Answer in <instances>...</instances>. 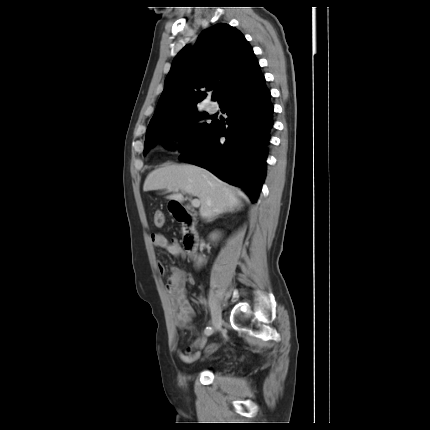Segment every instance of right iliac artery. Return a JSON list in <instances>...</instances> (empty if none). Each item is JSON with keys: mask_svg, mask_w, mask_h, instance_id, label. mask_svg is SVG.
<instances>
[{"mask_svg": "<svg viewBox=\"0 0 430 430\" xmlns=\"http://www.w3.org/2000/svg\"><path fill=\"white\" fill-rule=\"evenodd\" d=\"M213 333V329H212V327H207L206 329H205V334L206 335H211Z\"/></svg>", "mask_w": 430, "mask_h": 430, "instance_id": "82829eb1", "label": "right iliac artery"}]
</instances>
